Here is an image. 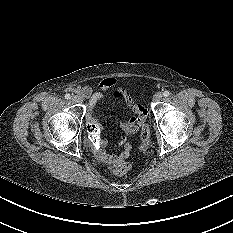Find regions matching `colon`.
Here are the masks:
<instances>
[{
  "label": "colon",
  "instance_id": "5ec220e1",
  "mask_svg": "<svg viewBox=\"0 0 233 233\" xmlns=\"http://www.w3.org/2000/svg\"><path fill=\"white\" fill-rule=\"evenodd\" d=\"M85 133L87 136V143L91 147H96L99 144L100 141V130L98 126L94 123H87L85 125ZM141 141L143 145L147 146L150 141V131L149 127L146 124H142L141 127ZM131 167L129 164L124 163L118 167H112L111 170L116 175H124L130 171Z\"/></svg>",
  "mask_w": 233,
  "mask_h": 233
}]
</instances>
